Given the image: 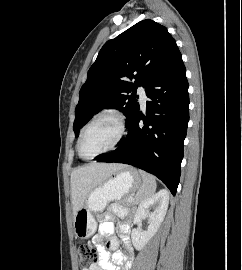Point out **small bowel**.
I'll return each instance as SVG.
<instances>
[{"label": "small bowel", "mask_w": 242, "mask_h": 270, "mask_svg": "<svg viewBox=\"0 0 242 270\" xmlns=\"http://www.w3.org/2000/svg\"><path fill=\"white\" fill-rule=\"evenodd\" d=\"M120 217L124 221L119 224V234L126 247V253L118 250L119 239L114 235V218ZM131 214L121 206H114L112 212L100 219L99 234L93 237L92 243L98 252V261L84 270H119L126 262L131 252L129 233L131 229ZM104 237L106 240L104 241ZM112 252V253H111ZM129 265L126 263L125 267Z\"/></svg>", "instance_id": "1"}]
</instances>
